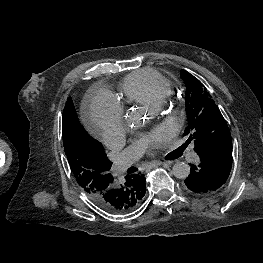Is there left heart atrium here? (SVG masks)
I'll return each mask as SVG.
<instances>
[{"label":"left heart atrium","instance_id":"obj_1","mask_svg":"<svg viewBox=\"0 0 263 263\" xmlns=\"http://www.w3.org/2000/svg\"><path fill=\"white\" fill-rule=\"evenodd\" d=\"M164 137H165L164 132L157 131V132H155L149 136L144 137L143 140L152 144V143H156V142L161 141Z\"/></svg>","mask_w":263,"mask_h":263}]
</instances>
